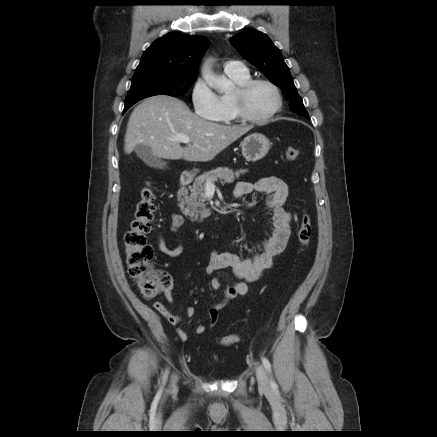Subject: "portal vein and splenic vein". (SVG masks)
<instances>
[{
	"mask_svg": "<svg viewBox=\"0 0 437 437\" xmlns=\"http://www.w3.org/2000/svg\"><path fill=\"white\" fill-rule=\"evenodd\" d=\"M174 140L178 141V142H181V143H185V144H188L190 142L189 137H187L185 135H181V134L177 135L174 138ZM205 189L206 190H215V185L213 184V182L211 180H207L205 182Z\"/></svg>",
	"mask_w": 437,
	"mask_h": 437,
	"instance_id": "obj_1",
	"label": "portal vein and splenic vein"
}]
</instances>
